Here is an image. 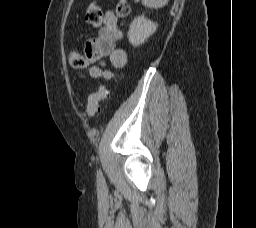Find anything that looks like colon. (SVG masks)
<instances>
[{
  "instance_id": "5ec220e1",
  "label": "colon",
  "mask_w": 256,
  "mask_h": 228,
  "mask_svg": "<svg viewBox=\"0 0 256 228\" xmlns=\"http://www.w3.org/2000/svg\"><path fill=\"white\" fill-rule=\"evenodd\" d=\"M130 13V6L127 0H118L116 14L120 18H125ZM86 20L93 27L102 24L103 12L97 0L91 2L86 11ZM70 65L73 68L85 69L89 65V58L77 52H71L69 57ZM109 95V90L105 85H101L95 93L88 98L87 114L90 118L94 117L99 110V104Z\"/></svg>"
}]
</instances>
